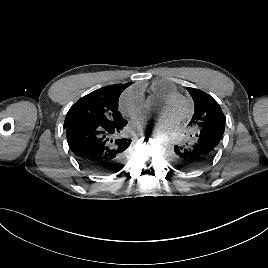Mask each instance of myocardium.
Instances as JSON below:
<instances>
[{
  "label": "myocardium",
  "mask_w": 268,
  "mask_h": 268,
  "mask_svg": "<svg viewBox=\"0 0 268 268\" xmlns=\"http://www.w3.org/2000/svg\"><path fill=\"white\" fill-rule=\"evenodd\" d=\"M168 103H180L182 105V111L178 116V120L184 121L190 117L192 113V103L190 99L182 94L173 93L161 98Z\"/></svg>",
  "instance_id": "obj_1"
}]
</instances>
